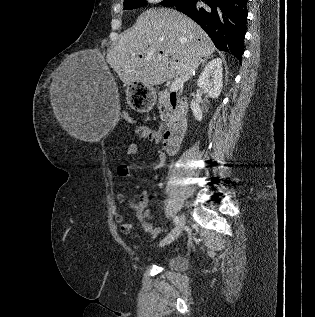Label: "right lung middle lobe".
Returning <instances> with one entry per match:
<instances>
[{"label": "right lung middle lobe", "mask_w": 315, "mask_h": 317, "mask_svg": "<svg viewBox=\"0 0 315 317\" xmlns=\"http://www.w3.org/2000/svg\"><path fill=\"white\" fill-rule=\"evenodd\" d=\"M179 1L180 0H164L160 4L164 6H174ZM145 4L146 0H124V10L139 8L144 6Z\"/></svg>", "instance_id": "1"}]
</instances>
